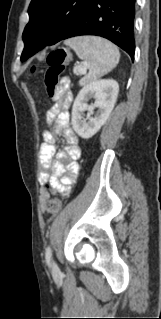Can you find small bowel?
<instances>
[{"label": "small bowel", "mask_w": 161, "mask_h": 319, "mask_svg": "<svg viewBox=\"0 0 161 319\" xmlns=\"http://www.w3.org/2000/svg\"><path fill=\"white\" fill-rule=\"evenodd\" d=\"M57 97L59 102L54 104L46 113V122L51 125L50 130L43 132V143L41 144L40 154L42 161L41 183L49 182L51 191L58 192L60 195H67L71 186L76 182L80 168L77 159L80 157L78 138L74 131L69 127V114L67 112L72 102V94L68 90V84L64 82L58 89ZM56 122L52 125L53 120ZM62 134L68 146L64 148V154L71 158L67 162L65 155H61L60 160L53 159L55 154L56 137ZM49 197V190L42 187L40 201L46 207Z\"/></svg>", "instance_id": "small-bowel-1"}]
</instances>
